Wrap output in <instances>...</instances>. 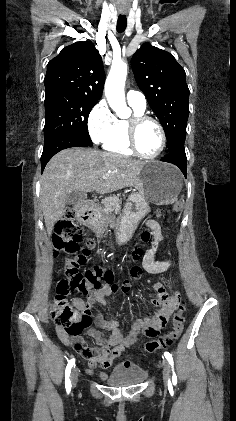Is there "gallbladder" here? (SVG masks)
<instances>
[{"label":"gallbladder","mask_w":236,"mask_h":421,"mask_svg":"<svg viewBox=\"0 0 236 421\" xmlns=\"http://www.w3.org/2000/svg\"><path fill=\"white\" fill-rule=\"evenodd\" d=\"M86 192H81V190H72L69 192L66 198V204H76V202H80V200H85Z\"/></svg>","instance_id":"obj_1"}]
</instances>
